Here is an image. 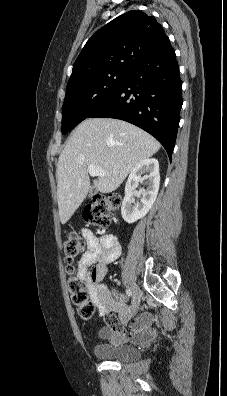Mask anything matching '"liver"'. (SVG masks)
Listing matches in <instances>:
<instances>
[{
    "mask_svg": "<svg viewBox=\"0 0 227 396\" xmlns=\"http://www.w3.org/2000/svg\"><path fill=\"white\" fill-rule=\"evenodd\" d=\"M160 143L147 132L122 120L89 118L72 132L57 164L59 217L66 224L86 198L90 180L88 166L105 171L94 180L102 193L116 190L132 169L153 156Z\"/></svg>",
    "mask_w": 227,
    "mask_h": 396,
    "instance_id": "6515ba94",
    "label": "liver"
}]
</instances>
